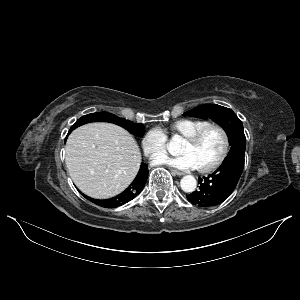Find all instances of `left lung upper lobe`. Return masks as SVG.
Masks as SVG:
<instances>
[{"label": "left lung upper lobe", "mask_w": 300, "mask_h": 300, "mask_svg": "<svg viewBox=\"0 0 300 300\" xmlns=\"http://www.w3.org/2000/svg\"><path fill=\"white\" fill-rule=\"evenodd\" d=\"M183 115L197 118H210L218 123L227 133L231 149L229 154H240L244 156L246 138L241 120L236 114L226 107L217 104H206L198 106Z\"/></svg>", "instance_id": "left-lung-upper-lobe-1"}]
</instances>
